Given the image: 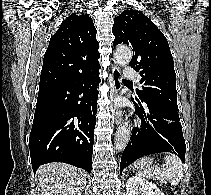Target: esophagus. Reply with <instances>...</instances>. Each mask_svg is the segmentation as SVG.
<instances>
[{"label": "esophagus", "instance_id": "esophagus-1", "mask_svg": "<svg viewBox=\"0 0 211 195\" xmlns=\"http://www.w3.org/2000/svg\"><path fill=\"white\" fill-rule=\"evenodd\" d=\"M112 78H113V86H112V93L111 99L114 101L117 94L121 91L122 84H121V70L118 65L114 64L112 67ZM124 111L122 108H113V120L115 124L119 125L123 121Z\"/></svg>", "mask_w": 211, "mask_h": 195}]
</instances>
